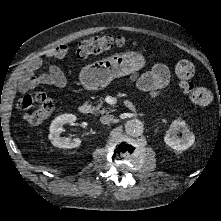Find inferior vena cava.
I'll return each instance as SVG.
<instances>
[{
    "instance_id": "inferior-vena-cava-1",
    "label": "inferior vena cava",
    "mask_w": 221,
    "mask_h": 221,
    "mask_svg": "<svg viewBox=\"0 0 221 221\" xmlns=\"http://www.w3.org/2000/svg\"><path fill=\"white\" fill-rule=\"evenodd\" d=\"M113 119H114V116H113V115L107 114V115H104V116H102V117L100 118V122H101L102 124H109V123H111V122L113 121Z\"/></svg>"
}]
</instances>
